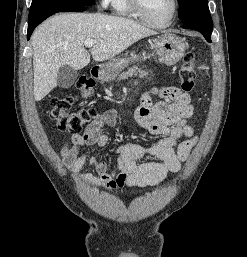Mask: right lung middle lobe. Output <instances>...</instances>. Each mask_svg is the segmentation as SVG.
<instances>
[{
  "instance_id": "1",
  "label": "right lung middle lobe",
  "mask_w": 247,
  "mask_h": 257,
  "mask_svg": "<svg viewBox=\"0 0 247 257\" xmlns=\"http://www.w3.org/2000/svg\"><path fill=\"white\" fill-rule=\"evenodd\" d=\"M94 4H95V0H32L29 15L52 6H64V5L87 6V5H94Z\"/></svg>"
}]
</instances>
